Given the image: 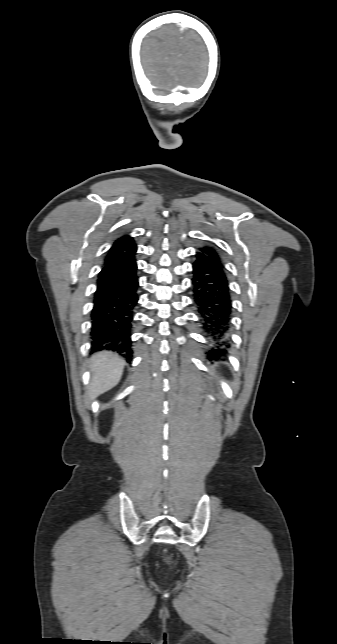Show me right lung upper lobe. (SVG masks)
<instances>
[{
	"label": "right lung upper lobe",
	"mask_w": 337,
	"mask_h": 644,
	"mask_svg": "<svg viewBox=\"0 0 337 644\" xmlns=\"http://www.w3.org/2000/svg\"><path fill=\"white\" fill-rule=\"evenodd\" d=\"M137 247L134 240L129 236H123L117 239L111 247L105 265L119 260L134 257Z\"/></svg>",
	"instance_id": "cb5924a9"
}]
</instances>
